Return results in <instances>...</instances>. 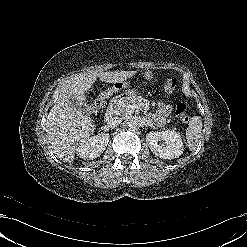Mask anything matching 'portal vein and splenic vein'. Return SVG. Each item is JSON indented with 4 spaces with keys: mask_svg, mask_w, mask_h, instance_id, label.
Wrapping results in <instances>:
<instances>
[{
    "mask_svg": "<svg viewBox=\"0 0 247 247\" xmlns=\"http://www.w3.org/2000/svg\"><path fill=\"white\" fill-rule=\"evenodd\" d=\"M128 108L134 111L135 109H138V105H129Z\"/></svg>",
    "mask_w": 247,
    "mask_h": 247,
    "instance_id": "1",
    "label": "portal vein and splenic vein"
}]
</instances>
